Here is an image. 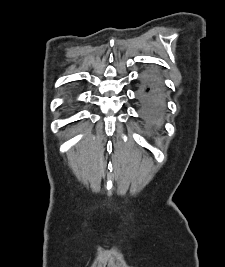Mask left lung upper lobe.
<instances>
[{
  "mask_svg": "<svg viewBox=\"0 0 225 267\" xmlns=\"http://www.w3.org/2000/svg\"><path fill=\"white\" fill-rule=\"evenodd\" d=\"M142 112H143V116H144V118H145V122H146V124H147L149 127H151V128H158V127L161 125L162 122H160V123L155 122V121L151 118V116H150V114L148 113V111H146V110H144V109L142 108Z\"/></svg>",
  "mask_w": 225,
  "mask_h": 267,
  "instance_id": "left-lung-upper-lobe-1",
  "label": "left lung upper lobe"
}]
</instances>
